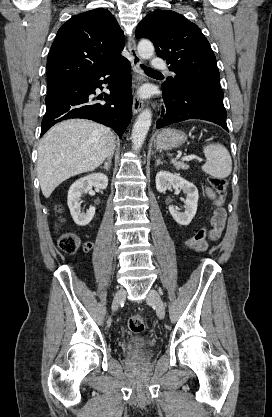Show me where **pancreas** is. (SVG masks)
<instances>
[{"mask_svg":"<svg viewBox=\"0 0 272 417\" xmlns=\"http://www.w3.org/2000/svg\"><path fill=\"white\" fill-rule=\"evenodd\" d=\"M174 166L177 170H179V169H188V167H189L187 164H185L183 162H178V161L174 162Z\"/></svg>","mask_w":272,"mask_h":417,"instance_id":"obj_1","label":"pancreas"}]
</instances>
